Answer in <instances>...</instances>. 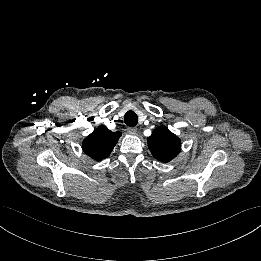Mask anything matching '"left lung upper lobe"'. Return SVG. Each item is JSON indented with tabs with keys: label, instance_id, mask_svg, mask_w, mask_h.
Instances as JSON below:
<instances>
[{
	"label": "left lung upper lobe",
	"instance_id": "left-lung-upper-lobe-1",
	"mask_svg": "<svg viewBox=\"0 0 261 261\" xmlns=\"http://www.w3.org/2000/svg\"><path fill=\"white\" fill-rule=\"evenodd\" d=\"M147 141L153 156L164 163L174 159L181 150V140L166 127L156 128Z\"/></svg>",
	"mask_w": 261,
	"mask_h": 261
}]
</instances>
